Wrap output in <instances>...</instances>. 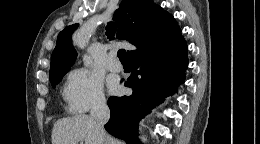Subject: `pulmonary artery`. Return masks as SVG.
Wrapping results in <instances>:
<instances>
[{
    "instance_id": "obj_1",
    "label": "pulmonary artery",
    "mask_w": 260,
    "mask_h": 144,
    "mask_svg": "<svg viewBox=\"0 0 260 144\" xmlns=\"http://www.w3.org/2000/svg\"><path fill=\"white\" fill-rule=\"evenodd\" d=\"M107 66H108V69L111 71L119 72L122 70L121 63L118 61V59L115 58V56L113 54H111L108 57Z\"/></svg>"
}]
</instances>
